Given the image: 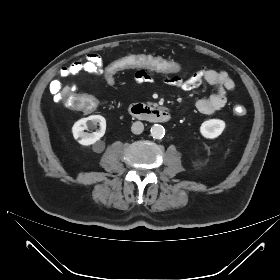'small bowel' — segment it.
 I'll return each mask as SVG.
<instances>
[{
    "instance_id": "1",
    "label": "small bowel",
    "mask_w": 280,
    "mask_h": 280,
    "mask_svg": "<svg viewBox=\"0 0 280 280\" xmlns=\"http://www.w3.org/2000/svg\"><path fill=\"white\" fill-rule=\"evenodd\" d=\"M111 65V64H110ZM68 67L71 68V74L84 72L91 75L103 73L104 63L96 54H89L86 58L79 62H74ZM133 77L136 84L150 83L154 80L152 73H156L150 69L138 68ZM164 82L184 91L196 89L203 82L213 86L216 92L208 97L200 98L196 101V109L203 114H212L222 109L227 102V92L235 90V83L225 71H216L213 69L201 68L193 75L186 77L187 70L183 66L182 72L177 76H169L166 73Z\"/></svg>"
}]
</instances>
